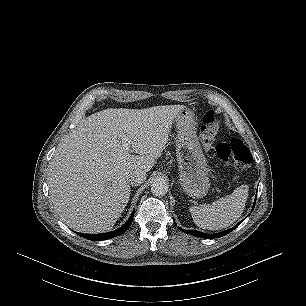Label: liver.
Here are the masks:
<instances>
[{
	"label": "liver",
	"instance_id": "1",
	"mask_svg": "<svg viewBox=\"0 0 306 306\" xmlns=\"http://www.w3.org/2000/svg\"><path fill=\"white\" fill-rule=\"evenodd\" d=\"M184 108L106 109L83 119L59 143L48 171L50 200L61 220L81 233L111 230L130 198L129 174L152 169Z\"/></svg>",
	"mask_w": 306,
	"mask_h": 306
}]
</instances>
